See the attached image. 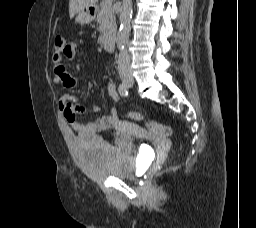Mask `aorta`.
<instances>
[{"mask_svg":"<svg viewBox=\"0 0 256 228\" xmlns=\"http://www.w3.org/2000/svg\"><path fill=\"white\" fill-rule=\"evenodd\" d=\"M133 9L132 0H123L120 7V29L117 35V48L122 49L127 44L131 31L130 20Z\"/></svg>","mask_w":256,"mask_h":228,"instance_id":"aorta-1","label":"aorta"}]
</instances>
